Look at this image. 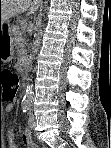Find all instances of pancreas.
Instances as JSON below:
<instances>
[{
  "mask_svg": "<svg viewBox=\"0 0 111 148\" xmlns=\"http://www.w3.org/2000/svg\"><path fill=\"white\" fill-rule=\"evenodd\" d=\"M23 26H21V31L19 30V26H16V28L13 29V33L15 35V43L18 46V48L20 49V51L24 50V46H25V40L23 38Z\"/></svg>",
  "mask_w": 111,
  "mask_h": 148,
  "instance_id": "1",
  "label": "pancreas"
}]
</instances>
